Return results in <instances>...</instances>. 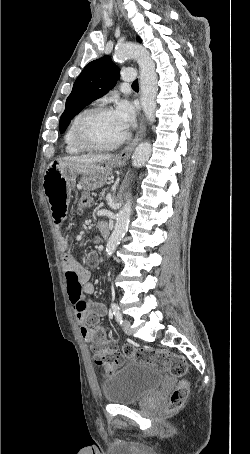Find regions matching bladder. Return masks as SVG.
<instances>
[{
    "label": "bladder",
    "mask_w": 250,
    "mask_h": 454,
    "mask_svg": "<svg viewBox=\"0 0 250 454\" xmlns=\"http://www.w3.org/2000/svg\"><path fill=\"white\" fill-rule=\"evenodd\" d=\"M163 379L149 364L131 362L106 376L102 390L105 400L111 404H135L157 390Z\"/></svg>",
    "instance_id": "obj_1"
}]
</instances>
